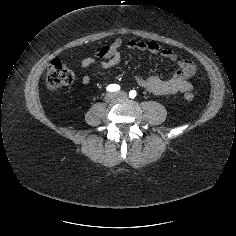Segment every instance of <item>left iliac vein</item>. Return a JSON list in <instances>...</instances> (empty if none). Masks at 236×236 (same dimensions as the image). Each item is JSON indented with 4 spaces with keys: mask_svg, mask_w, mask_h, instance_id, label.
Returning a JSON list of instances; mask_svg holds the SVG:
<instances>
[{
    "mask_svg": "<svg viewBox=\"0 0 236 236\" xmlns=\"http://www.w3.org/2000/svg\"><path fill=\"white\" fill-rule=\"evenodd\" d=\"M117 98L125 99L127 97V93L125 91H120L116 94Z\"/></svg>",
    "mask_w": 236,
    "mask_h": 236,
    "instance_id": "4c4485c4",
    "label": "left iliac vein"
}]
</instances>
